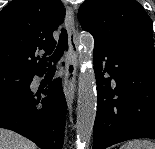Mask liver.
Masks as SVG:
<instances>
[{
  "mask_svg": "<svg viewBox=\"0 0 155 149\" xmlns=\"http://www.w3.org/2000/svg\"><path fill=\"white\" fill-rule=\"evenodd\" d=\"M0 149H36V145L13 131L0 128Z\"/></svg>",
  "mask_w": 155,
  "mask_h": 149,
  "instance_id": "liver-1",
  "label": "liver"
}]
</instances>
